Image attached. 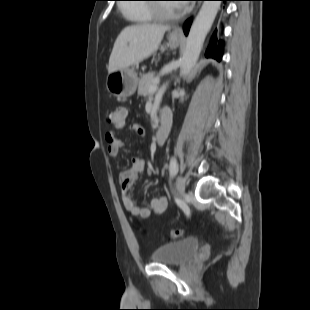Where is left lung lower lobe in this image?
Returning a JSON list of instances; mask_svg holds the SVG:
<instances>
[{"label": "left lung lower lobe", "instance_id": "1", "mask_svg": "<svg viewBox=\"0 0 310 310\" xmlns=\"http://www.w3.org/2000/svg\"><path fill=\"white\" fill-rule=\"evenodd\" d=\"M221 1H229V0H221ZM191 22H192V19H188L186 22H185V25H184V33L185 35L188 34V31H189V28H190V25H191ZM222 46H223V43L221 40L218 41V45H217V30H215L212 38H211V41H210V44L207 48V51H206V56L207 57H212V58H215L217 59L218 61L221 60V56H222Z\"/></svg>", "mask_w": 310, "mask_h": 310}]
</instances>
